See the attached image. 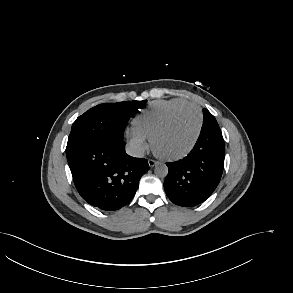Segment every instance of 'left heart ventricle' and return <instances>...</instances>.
Masks as SVG:
<instances>
[{"label": "left heart ventricle", "instance_id": "left-heart-ventricle-1", "mask_svg": "<svg viewBox=\"0 0 293 293\" xmlns=\"http://www.w3.org/2000/svg\"><path fill=\"white\" fill-rule=\"evenodd\" d=\"M199 124L195 109L187 108L180 112L169 127L156 141V149L166 155H174L185 150L192 142Z\"/></svg>", "mask_w": 293, "mask_h": 293}]
</instances>
